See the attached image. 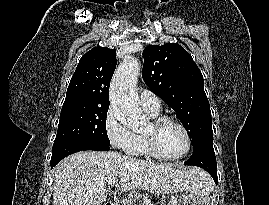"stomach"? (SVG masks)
Returning a JSON list of instances; mask_svg holds the SVG:
<instances>
[{
  "label": "stomach",
  "instance_id": "stomach-1",
  "mask_svg": "<svg viewBox=\"0 0 269 205\" xmlns=\"http://www.w3.org/2000/svg\"><path fill=\"white\" fill-rule=\"evenodd\" d=\"M141 205H166V203L159 196L151 194L143 199ZM168 205H210V197L206 189L193 187L180 191Z\"/></svg>",
  "mask_w": 269,
  "mask_h": 205
}]
</instances>
